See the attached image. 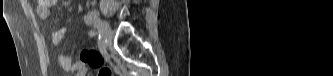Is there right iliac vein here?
<instances>
[{
  "label": "right iliac vein",
  "instance_id": "63e3f726",
  "mask_svg": "<svg viewBox=\"0 0 333 76\" xmlns=\"http://www.w3.org/2000/svg\"><path fill=\"white\" fill-rule=\"evenodd\" d=\"M101 30H102V37L106 46H109L112 41L113 33L106 21H101Z\"/></svg>",
  "mask_w": 333,
  "mask_h": 76
}]
</instances>
